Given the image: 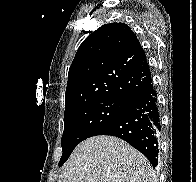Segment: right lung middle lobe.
<instances>
[{"label": "right lung middle lobe", "mask_w": 196, "mask_h": 182, "mask_svg": "<svg viewBox=\"0 0 196 182\" xmlns=\"http://www.w3.org/2000/svg\"><path fill=\"white\" fill-rule=\"evenodd\" d=\"M129 102L111 98H100L64 112V132L61 139V167L73 149L91 137L101 126L125 111Z\"/></svg>", "instance_id": "obj_1"}]
</instances>
